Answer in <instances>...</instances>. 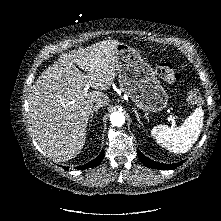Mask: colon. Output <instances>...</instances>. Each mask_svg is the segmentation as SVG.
Segmentation results:
<instances>
[{
  "instance_id": "colon-1",
  "label": "colon",
  "mask_w": 221,
  "mask_h": 221,
  "mask_svg": "<svg viewBox=\"0 0 221 221\" xmlns=\"http://www.w3.org/2000/svg\"><path fill=\"white\" fill-rule=\"evenodd\" d=\"M156 72L160 78L167 82H176L182 78L175 65L171 62L160 63L156 68ZM186 99L190 104L200 103L202 100L200 90L197 87H191L187 92Z\"/></svg>"
}]
</instances>
